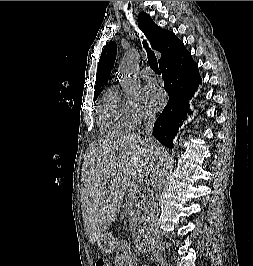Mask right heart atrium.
<instances>
[{
  "label": "right heart atrium",
  "mask_w": 253,
  "mask_h": 266,
  "mask_svg": "<svg viewBox=\"0 0 253 266\" xmlns=\"http://www.w3.org/2000/svg\"><path fill=\"white\" fill-rule=\"evenodd\" d=\"M127 109L134 125H140L153 116L151 110L142 101H127Z\"/></svg>",
  "instance_id": "obj_1"
}]
</instances>
